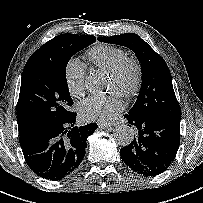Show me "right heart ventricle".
Returning <instances> with one entry per match:
<instances>
[{"mask_svg": "<svg viewBox=\"0 0 203 203\" xmlns=\"http://www.w3.org/2000/svg\"><path fill=\"white\" fill-rule=\"evenodd\" d=\"M125 55L123 49L105 44L96 45L86 53L90 63L105 71H109Z\"/></svg>", "mask_w": 203, "mask_h": 203, "instance_id": "obj_1", "label": "right heart ventricle"}]
</instances>
